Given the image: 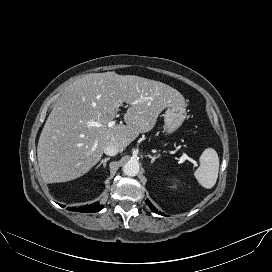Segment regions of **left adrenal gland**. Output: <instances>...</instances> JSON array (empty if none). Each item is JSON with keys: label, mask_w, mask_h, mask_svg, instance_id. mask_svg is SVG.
Masks as SVG:
<instances>
[{"label": "left adrenal gland", "mask_w": 272, "mask_h": 272, "mask_svg": "<svg viewBox=\"0 0 272 272\" xmlns=\"http://www.w3.org/2000/svg\"><path fill=\"white\" fill-rule=\"evenodd\" d=\"M151 159V163H153L157 158H159V155L151 156L150 154L146 155Z\"/></svg>", "instance_id": "1"}]
</instances>
